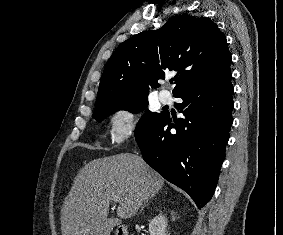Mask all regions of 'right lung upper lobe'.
Wrapping results in <instances>:
<instances>
[{"label":"right lung upper lobe","instance_id":"cb5924a9","mask_svg":"<svg viewBox=\"0 0 283 235\" xmlns=\"http://www.w3.org/2000/svg\"><path fill=\"white\" fill-rule=\"evenodd\" d=\"M225 35L207 18H170L158 30L143 31L121 43L108 60L96 104L146 97L156 81L177 71L173 94L230 71Z\"/></svg>","mask_w":283,"mask_h":235}]
</instances>
